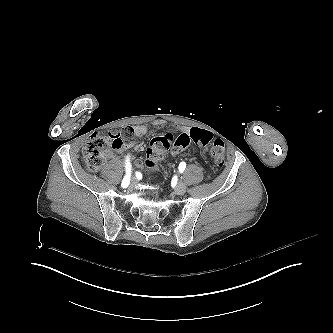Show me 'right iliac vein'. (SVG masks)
<instances>
[{"mask_svg": "<svg viewBox=\"0 0 333 333\" xmlns=\"http://www.w3.org/2000/svg\"><path fill=\"white\" fill-rule=\"evenodd\" d=\"M132 181L135 182L136 180L133 178Z\"/></svg>", "mask_w": 333, "mask_h": 333, "instance_id": "right-iliac-vein-1", "label": "right iliac vein"}]
</instances>
